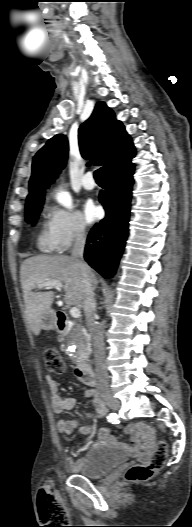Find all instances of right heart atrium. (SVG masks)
I'll list each match as a JSON object with an SVG mask.
<instances>
[{
    "label": "right heart atrium",
    "mask_w": 192,
    "mask_h": 527,
    "mask_svg": "<svg viewBox=\"0 0 192 527\" xmlns=\"http://www.w3.org/2000/svg\"><path fill=\"white\" fill-rule=\"evenodd\" d=\"M46 215L55 250H66L84 236L85 225L76 212L52 205L47 208Z\"/></svg>",
    "instance_id": "d8ad5b80"
}]
</instances>
